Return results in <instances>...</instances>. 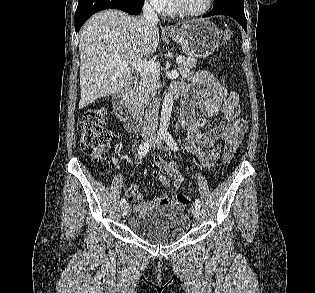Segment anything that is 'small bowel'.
Here are the masks:
<instances>
[{
    "label": "small bowel",
    "instance_id": "1",
    "mask_svg": "<svg viewBox=\"0 0 315 293\" xmlns=\"http://www.w3.org/2000/svg\"><path fill=\"white\" fill-rule=\"evenodd\" d=\"M177 93L183 96L179 123L187 131L182 142L183 149L190 158L196 159L204 167L212 166L222 153L235 152L247 129V123L239 117V97L235 92H229L224 84L208 72H198L190 84L177 85ZM199 108L201 116L196 114ZM220 117L225 121L212 126L213 120ZM153 164L159 169L158 177L164 187H178L183 181V173L174 163H168L160 157L153 158ZM137 193H136V192ZM129 202H139L138 186L133 184L127 192ZM174 202L168 195L152 201H141L135 207L139 213L154 205H169Z\"/></svg>",
    "mask_w": 315,
    "mask_h": 293
}]
</instances>
